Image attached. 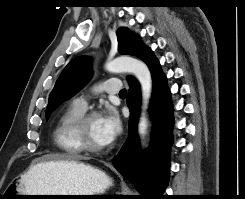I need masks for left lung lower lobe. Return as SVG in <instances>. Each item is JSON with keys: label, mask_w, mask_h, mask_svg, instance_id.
<instances>
[{"label": "left lung lower lobe", "mask_w": 245, "mask_h": 199, "mask_svg": "<svg viewBox=\"0 0 245 199\" xmlns=\"http://www.w3.org/2000/svg\"><path fill=\"white\" fill-rule=\"evenodd\" d=\"M154 82L152 97V116L154 131L152 145L147 154L138 150L136 125L140 106V88L138 82L130 78L127 105L130 109L129 137L114 158V167L130 180L146 197L160 196L168 182L166 154L170 141L171 101L166 78L161 72L160 64L152 52L145 58Z\"/></svg>", "instance_id": "1"}]
</instances>
